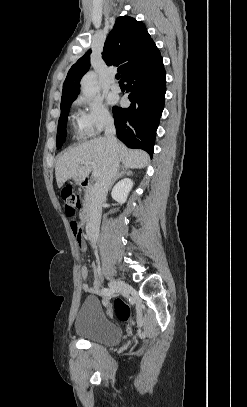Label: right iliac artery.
Instances as JSON below:
<instances>
[{
	"mask_svg": "<svg viewBox=\"0 0 247 407\" xmlns=\"http://www.w3.org/2000/svg\"><path fill=\"white\" fill-rule=\"evenodd\" d=\"M114 289L113 288H103L102 290H101V294L103 295V296H106V297H111V296H113V294H114Z\"/></svg>",
	"mask_w": 247,
	"mask_h": 407,
	"instance_id": "82829eb1",
	"label": "right iliac artery"
}]
</instances>
